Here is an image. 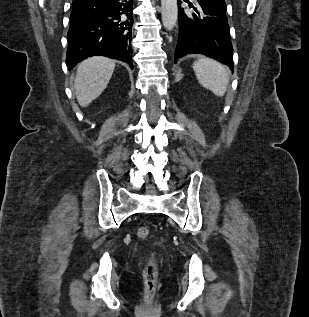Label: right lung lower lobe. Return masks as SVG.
<instances>
[{
	"label": "right lung lower lobe",
	"mask_w": 309,
	"mask_h": 317,
	"mask_svg": "<svg viewBox=\"0 0 309 317\" xmlns=\"http://www.w3.org/2000/svg\"><path fill=\"white\" fill-rule=\"evenodd\" d=\"M66 64L103 55L132 64L133 0H73Z\"/></svg>",
	"instance_id": "1"
}]
</instances>
